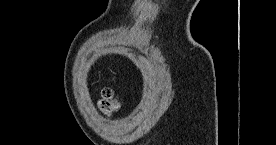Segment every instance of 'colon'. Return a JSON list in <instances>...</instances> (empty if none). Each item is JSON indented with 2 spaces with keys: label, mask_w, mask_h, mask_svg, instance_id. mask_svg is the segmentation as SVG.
<instances>
[{
  "label": "colon",
  "mask_w": 276,
  "mask_h": 145,
  "mask_svg": "<svg viewBox=\"0 0 276 145\" xmlns=\"http://www.w3.org/2000/svg\"><path fill=\"white\" fill-rule=\"evenodd\" d=\"M99 108L106 115H112L119 110L120 103L114 97L112 89L105 88L102 90Z\"/></svg>",
  "instance_id": "obj_1"
}]
</instances>
